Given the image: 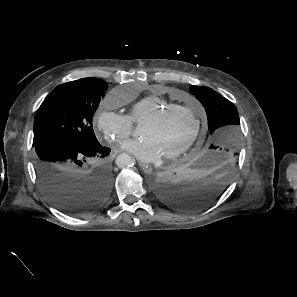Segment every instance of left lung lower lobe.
I'll use <instances>...</instances> for the list:
<instances>
[{
    "label": "left lung lower lobe",
    "mask_w": 297,
    "mask_h": 297,
    "mask_svg": "<svg viewBox=\"0 0 297 297\" xmlns=\"http://www.w3.org/2000/svg\"><path fill=\"white\" fill-rule=\"evenodd\" d=\"M236 159L218 150H207L153 181L156 196L164 204L183 211H197L211 205L228 187Z\"/></svg>",
    "instance_id": "left-lung-lower-lobe-1"
}]
</instances>
